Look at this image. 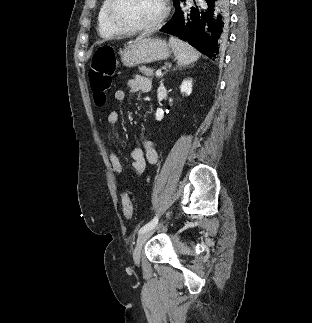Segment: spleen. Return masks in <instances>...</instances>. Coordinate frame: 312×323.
<instances>
[{
  "mask_svg": "<svg viewBox=\"0 0 312 323\" xmlns=\"http://www.w3.org/2000/svg\"><path fill=\"white\" fill-rule=\"evenodd\" d=\"M169 44L174 52V56H176L178 66H188V64L197 62L199 52H196L187 42H182V40L171 36L169 38Z\"/></svg>",
  "mask_w": 312,
  "mask_h": 323,
  "instance_id": "obj_1",
  "label": "spleen"
}]
</instances>
